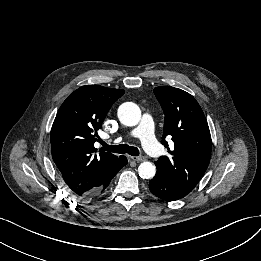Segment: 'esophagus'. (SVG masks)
<instances>
[{
	"label": "esophagus",
	"mask_w": 261,
	"mask_h": 261,
	"mask_svg": "<svg viewBox=\"0 0 261 261\" xmlns=\"http://www.w3.org/2000/svg\"><path fill=\"white\" fill-rule=\"evenodd\" d=\"M133 161H136V162H142L145 158L144 157H136V156H131L130 157Z\"/></svg>",
	"instance_id": "obj_1"
}]
</instances>
